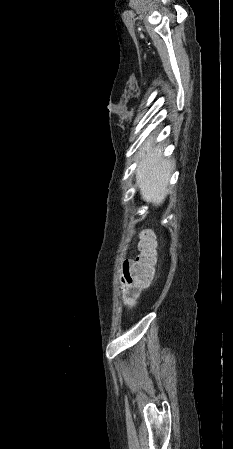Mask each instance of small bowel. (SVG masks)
<instances>
[{
	"mask_svg": "<svg viewBox=\"0 0 233 449\" xmlns=\"http://www.w3.org/2000/svg\"><path fill=\"white\" fill-rule=\"evenodd\" d=\"M121 287H122V291H124V292H129V290L131 289V285L127 279V274H126L125 270H123V274L121 277Z\"/></svg>",
	"mask_w": 233,
	"mask_h": 449,
	"instance_id": "c3829d8e",
	"label": "small bowel"
}]
</instances>
